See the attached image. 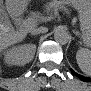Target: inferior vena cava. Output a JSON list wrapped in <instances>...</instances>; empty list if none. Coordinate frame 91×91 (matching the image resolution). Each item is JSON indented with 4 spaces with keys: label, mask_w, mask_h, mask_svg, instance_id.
I'll use <instances>...</instances> for the list:
<instances>
[{
    "label": "inferior vena cava",
    "mask_w": 91,
    "mask_h": 91,
    "mask_svg": "<svg viewBox=\"0 0 91 91\" xmlns=\"http://www.w3.org/2000/svg\"><path fill=\"white\" fill-rule=\"evenodd\" d=\"M48 29L46 27H39V28H33L31 30V33L33 34H40V33H46Z\"/></svg>",
    "instance_id": "1"
}]
</instances>
